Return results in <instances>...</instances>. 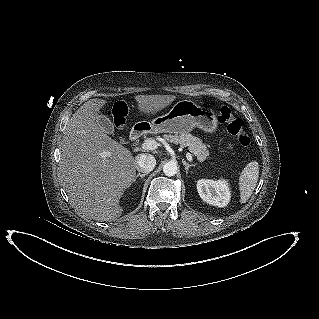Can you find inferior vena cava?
I'll return each instance as SVG.
<instances>
[{
	"label": "inferior vena cava",
	"instance_id": "inferior-vena-cava-1",
	"mask_svg": "<svg viewBox=\"0 0 319 319\" xmlns=\"http://www.w3.org/2000/svg\"><path fill=\"white\" fill-rule=\"evenodd\" d=\"M156 165V159L151 154H141L137 156L136 169L142 173H150Z\"/></svg>",
	"mask_w": 319,
	"mask_h": 319
}]
</instances>
